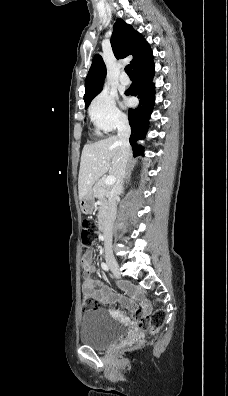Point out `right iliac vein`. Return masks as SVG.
Masks as SVG:
<instances>
[{"instance_id": "right-iliac-vein-1", "label": "right iliac vein", "mask_w": 228, "mask_h": 396, "mask_svg": "<svg viewBox=\"0 0 228 396\" xmlns=\"http://www.w3.org/2000/svg\"><path fill=\"white\" fill-rule=\"evenodd\" d=\"M106 262L115 276H120V267L116 259L112 255H106Z\"/></svg>"}]
</instances>
